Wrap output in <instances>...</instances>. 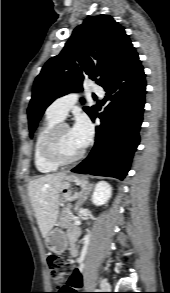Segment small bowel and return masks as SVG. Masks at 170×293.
<instances>
[{"mask_svg": "<svg viewBox=\"0 0 170 293\" xmlns=\"http://www.w3.org/2000/svg\"><path fill=\"white\" fill-rule=\"evenodd\" d=\"M68 237L70 241H75L79 237V232L77 230H70L68 233ZM83 275V265L77 266L74 272V276L71 280V286L77 289L82 288L84 286Z\"/></svg>", "mask_w": 170, "mask_h": 293, "instance_id": "c3829d8e", "label": "small bowel"}]
</instances>
